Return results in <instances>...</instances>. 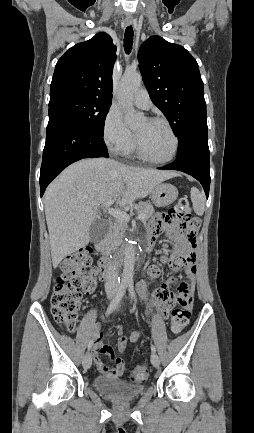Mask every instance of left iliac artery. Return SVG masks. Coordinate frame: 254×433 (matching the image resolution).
<instances>
[{"label": "left iliac artery", "mask_w": 254, "mask_h": 433, "mask_svg": "<svg viewBox=\"0 0 254 433\" xmlns=\"http://www.w3.org/2000/svg\"><path fill=\"white\" fill-rule=\"evenodd\" d=\"M128 287H129V293H130L131 297L135 300V291H134V286H133V282L132 281H130L128 283ZM151 350L153 352H156V348H155V346L153 344H151Z\"/></svg>", "instance_id": "left-iliac-artery-1"}]
</instances>
